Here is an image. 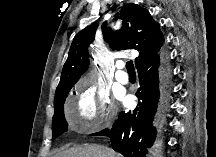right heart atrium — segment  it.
Returning a JSON list of instances; mask_svg holds the SVG:
<instances>
[{
    "label": "right heart atrium",
    "instance_id": "1",
    "mask_svg": "<svg viewBox=\"0 0 216 157\" xmlns=\"http://www.w3.org/2000/svg\"><path fill=\"white\" fill-rule=\"evenodd\" d=\"M76 111L70 118L72 127L80 133H91L110 124L117 115L115 105L94 83L82 81L78 87Z\"/></svg>",
    "mask_w": 216,
    "mask_h": 157
}]
</instances>
